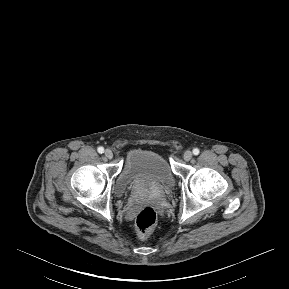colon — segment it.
<instances>
[{"instance_id":"colon-1","label":"colon","mask_w":289,"mask_h":289,"mask_svg":"<svg viewBox=\"0 0 289 289\" xmlns=\"http://www.w3.org/2000/svg\"><path fill=\"white\" fill-rule=\"evenodd\" d=\"M157 223V212L153 207H143L136 216L135 224L141 238H148Z\"/></svg>"}]
</instances>
